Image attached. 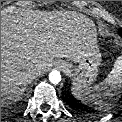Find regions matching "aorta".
<instances>
[{
    "label": "aorta",
    "instance_id": "1",
    "mask_svg": "<svg viewBox=\"0 0 122 122\" xmlns=\"http://www.w3.org/2000/svg\"><path fill=\"white\" fill-rule=\"evenodd\" d=\"M49 81L52 84H58L61 81V74L57 70H52L49 74Z\"/></svg>",
    "mask_w": 122,
    "mask_h": 122
}]
</instances>
